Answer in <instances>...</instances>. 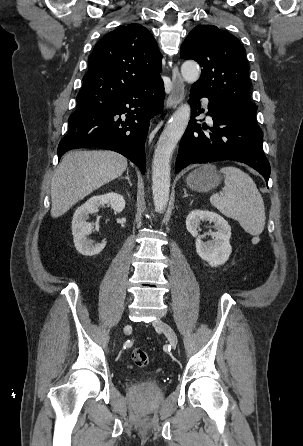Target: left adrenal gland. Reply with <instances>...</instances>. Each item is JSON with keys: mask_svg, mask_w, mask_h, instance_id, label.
<instances>
[{"mask_svg": "<svg viewBox=\"0 0 303 446\" xmlns=\"http://www.w3.org/2000/svg\"><path fill=\"white\" fill-rule=\"evenodd\" d=\"M183 192H184V196H183V198H186V197H188V196H192V195H188V194H187L186 189H183Z\"/></svg>", "mask_w": 303, "mask_h": 446, "instance_id": "1", "label": "left adrenal gland"}]
</instances>
